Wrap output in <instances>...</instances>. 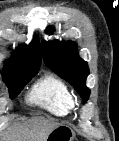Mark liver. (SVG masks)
Wrapping results in <instances>:
<instances>
[{"mask_svg": "<svg viewBox=\"0 0 119 141\" xmlns=\"http://www.w3.org/2000/svg\"><path fill=\"white\" fill-rule=\"evenodd\" d=\"M59 125L52 119L35 117L25 121L17 133L6 137L5 141H46L49 133Z\"/></svg>", "mask_w": 119, "mask_h": 141, "instance_id": "1", "label": "liver"}]
</instances>
